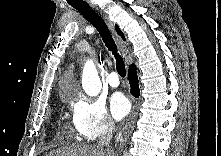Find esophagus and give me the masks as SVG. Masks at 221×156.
Masks as SVG:
<instances>
[{"mask_svg": "<svg viewBox=\"0 0 221 156\" xmlns=\"http://www.w3.org/2000/svg\"><path fill=\"white\" fill-rule=\"evenodd\" d=\"M87 1H88V3H90V5H91L92 7H94V5L91 4L90 0H87ZM103 18L105 19V21H106L107 25L109 26V28L114 31V25H113V23L109 20V18H108L106 15H104V14H103Z\"/></svg>", "mask_w": 221, "mask_h": 156, "instance_id": "34e87169", "label": "esophagus"}]
</instances>
